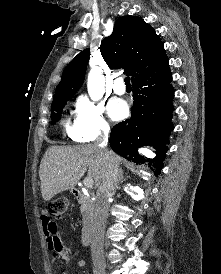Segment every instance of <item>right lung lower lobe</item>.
<instances>
[{
    "mask_svg": "<svg viewBox=\"0 0 221 274\" xmlns=\"http://www.w3.org/2000/svg\"><path fill=\"white\" fill-rule=\"evenodd\" d=\"M168 58L158 67L132 81L134 104L131 118L115 125L110 134V146L119 155L134 162H144L138 148L152 145L155 159L147 161L156 168L155 175L163 166L173 112V88Z\"/></svg>",
    "mask_w": 221,
    "mask_h": 274,
    "instance_id": "right-lung-lower-lobe-1",
    "label": "right lung lower lobe"
}]
</instances>
